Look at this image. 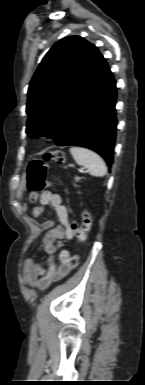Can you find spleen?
<instances>
[{
  "instance_id": "spleen-1",
  "label": "spleen",
  "mask_w": 145,
  "mask_h": 385,
  "mask_svg": "<svg viewBox=\"0 0 145 385\" xmlns=\"http://www.w3.org/2000/svg\"><path fill=\"white\" fill-rule=\"evenodd\" d=\"M70 153L76 163L84 166L91 175L102 177L107 174L105 162L95 152L83 147H71Z\"/></svg>"
}]
</instances>
